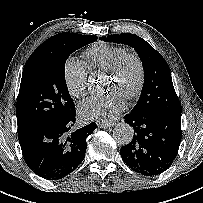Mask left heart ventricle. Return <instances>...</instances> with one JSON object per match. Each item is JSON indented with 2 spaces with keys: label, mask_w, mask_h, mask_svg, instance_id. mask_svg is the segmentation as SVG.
I'll return each mask as SVG.
<instances>
[{
  "label": "left heart ventricle",
  "mask_w": 203,
  "mask_h": 203,
  "mask_svg": "<svg viewBox=\"0 0 203 203\" xmlns=\"http://www.w3.org/2000/svg\"><path fill=\"white\" fill-rule=\"evenodd\" d=\"M137 77V67L133 61H127L124 66L112 76V88L125 96L134 86Z\"/></svg>",
  "instance_id": "left-heart-ventricle-1"
}]
</instances>
